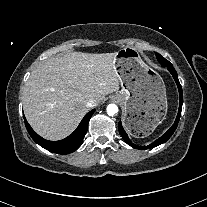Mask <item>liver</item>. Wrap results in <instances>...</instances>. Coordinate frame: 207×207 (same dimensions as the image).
Masks as SVG:
<instances>
[{"label":"liver","instance_id":"1","mask_svg":"<svg viewBox=\"0 0 207 207\" xmlns=\"http://www.w3.org/2000/svg\"><path fill=\"white\" fill-rule=\"evenodd\" d=\"M115 53L72 52L50 58L31 73L23 92V109L31 127L48 140L71 134L87 113L86 103L119 90Z\"/></svg>","mask_w":207,"mask_h":207}]
</instances>
